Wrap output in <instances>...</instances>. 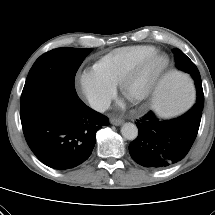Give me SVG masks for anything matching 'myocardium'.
Masks as SVG:
<instances>
[{
  "label": "myocardium",
  "instance_id": "myocardium-1",
  "mask_svg": "<svg viewBox=\"0 0 215 215\" xmlns=\"http://www.w3.org/2000/svg\"><path fill=\"white\" fill-rule=\"evenodd\" d=\"M156 60H160L161 64L151 77V79L148 81L144 89L134 95L129 96L128 90L129 87L144 73V71ZM169 68V59L168 57L158 51H155L145 57H143L141 60H139L136 64H134L129 71L125 74V76L122 78L120 82V89L121 92L133 103L139 104L146 100H148L154 91L156 90L158 84L160 83L161 79L165 75Z\"/></svg>",
  "mask_w": 215,
  "mask_h": 215
}]
</instances>
